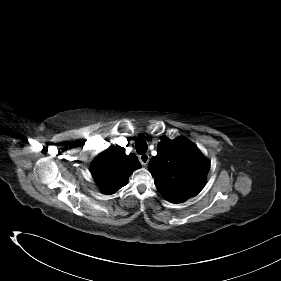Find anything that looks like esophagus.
I'll return each mask as SVG.
<instances>
[{"mask_svg":"<svg viewBox=\"0 0 281 281\" xmlns=\"http://www.w3.org/2000/svg\"><path fill=\"white\" fill-rule=\"evenodd\" d=\"M149 159H150V157L148 154H142L139 156V161L144 166L147 165V163L149 162Z\"/></svg>","mask_w":281,"mask_h":281,"instance_id":"obj_1","label":"esophagus"}]
</instances>
